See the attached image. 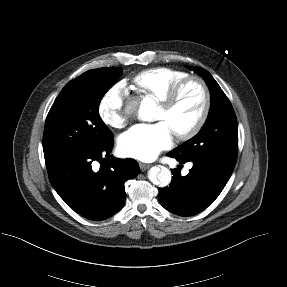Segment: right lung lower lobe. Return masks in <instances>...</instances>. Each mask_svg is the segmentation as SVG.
Returning a JSON list of instances; mask_svg holds the SVG:
<instances>
[{"label": "right lung lower lobe", "instance_id": "obj_1", "mask_svg": "<svg viewBox=\"0 0 287 287\" xmlns=\"http://www.w3.org/2000/svg\"><path fill=\"white\" fill-rule=\"evenodd\" d=\"M113 145L112 137L101 147L46 162L49 180L56 192L75 212L89 220H105L118 212L126 198L125 181L140 171L134 159L110 155ZM104 156L107 162L99 171H93L92 162L103 164Z\"/></svg>", "mask_w": 287, "mask_h": 287}]
</instances>
